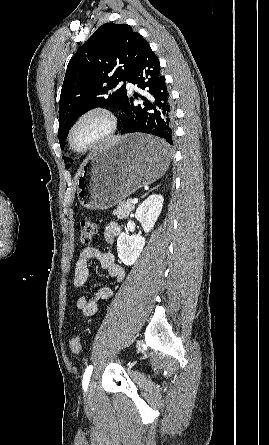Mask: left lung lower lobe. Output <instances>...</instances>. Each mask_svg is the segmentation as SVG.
Wrapping results in <instances>:
<instances>
[{"mask_svg":"<svg viewBox=\"0 0 269 445\" xmlns=\"http://www.w3.org/2000/svg\"><path fill=\"white\" fill-rule=\"evenodd\" d=\"M128 82L142 89V93H134V97L144 102L135 106L133 98L127 97L123 112L128 120L122 134L141 132L154 135L158 138L144 145L145 152L152 156L170 154L175 133V113L165 77L160 72V62L150 46Z\"/></svg>","mask_w":269,"mask_h":445,"instance_id":"obj_1","label":"left lung lower lobe"}]
</instances>
